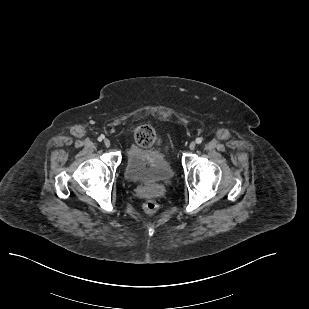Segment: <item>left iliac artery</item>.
Masks as SVG:
<instances>
[{"mask_svg":"<svg viewBox=\"0 0 309 309\" xmlns=\"http://www.w3.org/2000/svg\"><path fill=\"white\" fill-rule=\"evenodd\" d=\"M196 143H197V144L202 143V138H200V137L196 138Z\"/></svg>","mask_w":309,"mask_h":309,"instance_id":"44dca946","label":"left iliac artery"}]
</instances>
